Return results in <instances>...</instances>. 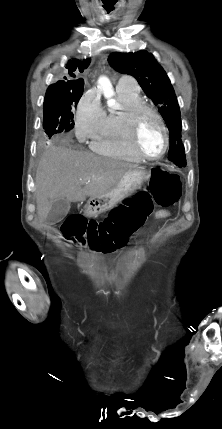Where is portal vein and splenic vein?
I'll list each match as a JSON object with an SVG mask.
<instances>
[{
    "label": "portal vein and splenic vein",
    "instance_id": "obj_1",
    "mask_svg": "<svg viewBox=\"0 0 222 429\" xmlns=\"http://www.w3.org/2000/svg\"><path fill=\"white\" fill-rule=\"evenodd\" d=\"M86 182H89V180H86V181H82V183H86Z\"/></svg>",
    "mask_w": 222,
    "mask_h": 429
}]
</instances>
